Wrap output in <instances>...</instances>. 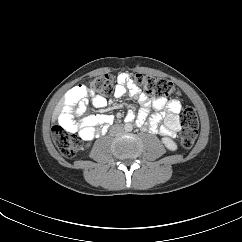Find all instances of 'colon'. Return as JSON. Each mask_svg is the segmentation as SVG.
<instances>
[{
    "mask_svg": "<svg viewBox=\"0 0 242 242\" xmlns=\"http://www.w3.org/2000/svg\"><path fill=\"white\" fill-rule=\"evenodd\" d=\"M135 81L139 88L146 94L153 95L156 98L178 96L179 91L168 80L157 78L150 75L137 74ZM88 89L101 95H108L112 92L114 86V77L112 74H102L88 82ZM182 129L179 134L180 143L184 148L193 146L199 121L197 112L192 107L183 110L180 117ZM54 141L66 157H73L82 146L81 140L66 130L60 122L53 127Z\"/></svg>",
    "mask_w": 242,
    "mask_h": 242,
    "instance_id": "colon-1",
    "label": "colon"
}]
</instances>
